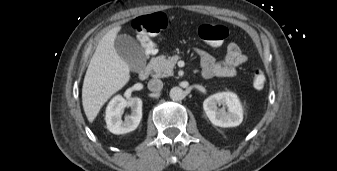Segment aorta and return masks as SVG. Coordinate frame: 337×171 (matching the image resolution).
<instances>
[{
    "instance_id": "obj_1",
    "label": "aorta",
    "mask_w": 337,
    "mask_h": 171,
    "mask_svg": "<svg viewBox=\"0 0 337 171\" xmlns=\"http://www.w3.org/2000/svg\"><path fill=\"white\" fill-rule=\"evenodd\" d=\"M170 98L174 101H180L184 98V91L180 87H173L170 90Z\"/></svg>"
}]
</instances>
